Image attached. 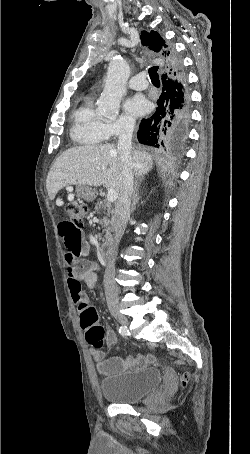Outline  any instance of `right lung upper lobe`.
<instances>
[{"mask_svg":"<svg viewBox=\"0 0 250 454\" xmlns=\"http://www.w3.org/2000/svg\"><path fill=\"white\" fill-rule=\"evenodd\" d=\"M141 42L144 46H147L152 50L158 59L162 61V70L165 72L172 69L169 61V53L167 52L169 45L167 42L155 31L141 32Z\"/></svg>","mask_w":250,"mask_h":454,"instance_id":"1","label":"right lung upper lobe"}]
</instances>
